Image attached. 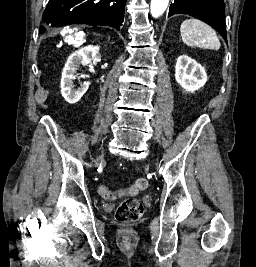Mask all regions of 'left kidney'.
Returning a JSON list of instances; mask_svg holds the SVG:
<instances>
[{"mask_svg": "<svg viewBox=\"0 0 256 267\" xmlns=\"http://www.w3.org/2000/svg\"><path fill=\"white\" fill-rule=\"evenodd\" d=\"M175 80L186 92H195L205 86L207 74L201 64H197L196 60L183 54L177 58Z\"/></svg>", "mask_w": 256, "mask_h": 267, "instance_id": "left-kidney-1", "label": "left kidney"}]
</instances>
